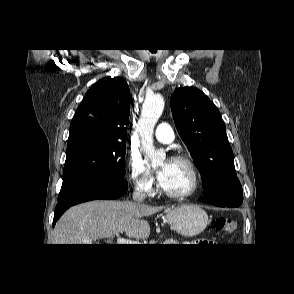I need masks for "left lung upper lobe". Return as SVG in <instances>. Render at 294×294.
Wrapping results in <instances>:
<instances>
[{
	"label": "left lung upper lobe",
	"instance_id": "5c2ea615",
	"mask_svg": "<svg viewBox=\"0 0 294 294\" xmlns=\"http://www.w3.org/2000/svg\"><path fill=\"white\" fill-rule=\"evenodd\" d=\"M171 110L201 173L204 195L242 192L226 127L214 103L195 87H180L171 95Z\"/></svg>",
	"mask_w": 294,
	"mask_h": 294
}]
</instances>
